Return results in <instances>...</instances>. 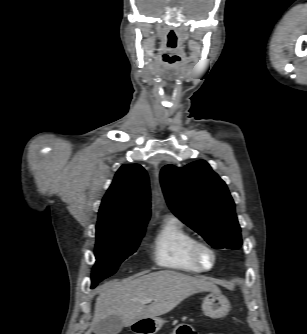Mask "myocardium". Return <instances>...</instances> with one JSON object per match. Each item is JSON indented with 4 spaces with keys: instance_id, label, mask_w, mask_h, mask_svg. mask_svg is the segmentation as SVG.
I'll return each mask as SVG.
<instances>
[{
    "instance_id": "obj_1",
    "label": "myocardium",
    "mask_w": 307,
    "mask_h": 334,
    "mask_svg": "<svg viewBox=\"0 0 307 334\" xmlns=\"http://www.w3.org/2000/svg\"><path fill=\"white\" fill-rule=\"evenodd\" d=\"M203 251H206L211 255L212 261L210 265H206L203 262ZM190 255L192 260L204 271H209L213 269L217 263V252L215 248L205 241L195 240L190 246Z\"/></svg>"
}]
</instances>
